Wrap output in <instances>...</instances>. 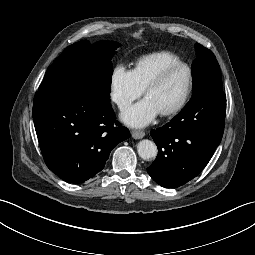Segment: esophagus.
I'll return each mask as SVG.
<instances>
[{"instance_id": "1", "label": "esophagus", "mask_w": 255, "mask_h": 255, "mask_svg": "<svg viewBox=\"0 0 255 255\" xmlns=\"http://www.w3.org/2000/svg\"><path fill=\"white\" fill-rule=\"evenodd\" d=\"M131 134H132L133 138L140 139V138L144 137L145 132L142 130H132Z\"/></svg>"}]
</instances>
